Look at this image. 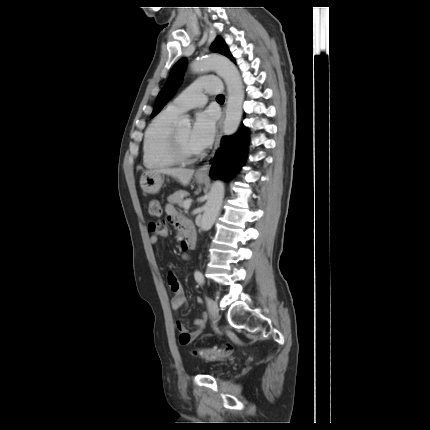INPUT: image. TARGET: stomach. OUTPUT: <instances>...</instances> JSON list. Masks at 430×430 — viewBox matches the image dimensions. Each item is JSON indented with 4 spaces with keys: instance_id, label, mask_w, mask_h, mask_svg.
<instances>
[{
    "instance_id": "stomach-1",
    "label": "stomach",
    "mask_w": 430,
    "mask_h": 430,
    "mask_svg": "<svg viewBox=\"0 0 430 430\" xmlns=\"http://www.w3.org/2000/svg\"><path fill=\"white\" fill-rule=\"evenodd\" d=\"M195 178L198 183H203L205 176L196 174ZM164 181L163 174L160 173H144L140 178V186L145 193L156 194L159 192Z\"/></svg>"
}]
</instances>
